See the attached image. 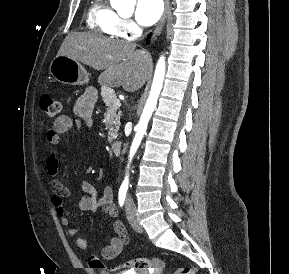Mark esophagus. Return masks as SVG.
Listing matches in <instances>:
<instances>
[{"instance_id":"34e87169","label":"esophagus","mask_w":289,"mask_h":274,"mask_svg":"<svg viewBox=\"0 0 289 274\" xmlns=\"http://www.w3.org/2000/svg\"><path fill=\"white\" fill-rule=\"evenodd\" d=\"M169 7H170V1L169 0H165L164 14H163L161 20L159 21V23L157 24V26L154 29L153 40H155L157 38V36L161 33V31H162V29L164 27V24H165V21H166V17H167L168 11H169Z\"/></svg>"}]
</instances>
